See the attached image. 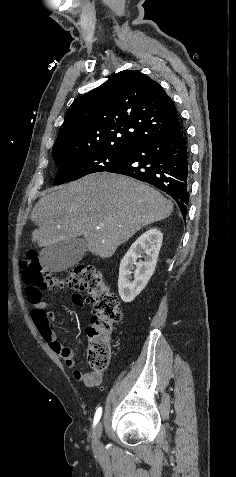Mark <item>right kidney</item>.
Here are the masks:
<instances>
[{
    "instance_id": "right-kidney-1",
    "label": "right kidney",
    "mask_w": 236,
    "mask_h": 477,
    "mask_svg": "<svg viewBox=\"0 0 236 477\" xmlns=\"http://www.w3.org/2000/svg\"><path fill=\"white\" fill-rule=\"evenodd\" d=\"M162 240V232L157 228H151L131 245L121 260L118 291L123 302L133 301L147 285L154 273ZM143 253L146 254L145 260L137 262ZM132 273L134 279L131 278Z\"/></svg>"
}]
</instances>
